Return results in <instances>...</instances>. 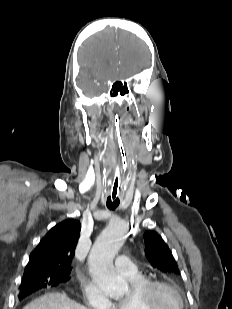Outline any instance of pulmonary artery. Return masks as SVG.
Listing matches in <instances>:
<instances>
[{"mask_svg": "<svg viewBox=\"0 0 232 309\" xmlns=\"http://www.w3.org/2000/svg\"><path fill=\"white\" fill-rule=\"evenodd\" d=\"M117 271L125 277H134L139 274L137 266L128 256L120 255L115 260Z\"/></svg>", "mask_w": 232, "mask_h": 309, "instance_id": "e3ab8cb5", "label": "pulmonary artery"}]
</instances>
